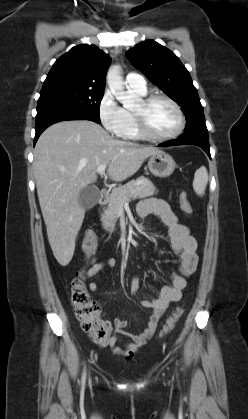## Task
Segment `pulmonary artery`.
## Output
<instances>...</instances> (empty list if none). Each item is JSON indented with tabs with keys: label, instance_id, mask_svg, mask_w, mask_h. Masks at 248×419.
<instances>
[{
	"label": "pulmonary artery",
	"instance_id": "e3ab8cb5",
	"mask_svg": "<svg viewBox=\"0 0 248 419\" xmlns=\"http://www.w3.org/2000/svg\"><path fill=\"white\" fill-rule=\"evenodd\" d=\"M125 80L129 88L139 92H146V81L141 74L129 73Z\"/></svg>",
	"mask_w": 248,
	"mask_h": 419
}]
</instances>
